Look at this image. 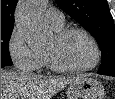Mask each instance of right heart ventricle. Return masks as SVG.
<instances>
[{"mask_svg":"<svg viewBox=\"0 0 115 99\" xmlns=\"http://www.w3.org/2000/svg\"><path fill=\"white\" fill-rule=\"evenodd\" d=\"M53 29H54L55 31H59V30H61L62 28H59V29L53 28ZM41 57H42L41 66H42V65H47V61H46L45 54H44V53H41Z\"/></svg>","mask_w":115,"mask_h":99,"instance_id":"1","label":"right heart ventricle"}]
</instances>
